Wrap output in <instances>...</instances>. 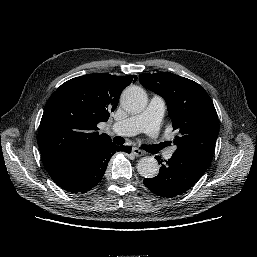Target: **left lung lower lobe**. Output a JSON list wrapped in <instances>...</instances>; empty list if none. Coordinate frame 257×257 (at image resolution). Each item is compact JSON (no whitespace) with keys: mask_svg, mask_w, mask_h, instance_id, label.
<instances>
[{"mask_svg":"<svg viewBox=\"0 0 257 257\" xmlns=\"http://www.w3.org/2000/svg\"><path fill=\"white\" fill-rule=\"evenodd\" d=\"M156 159L162 164L160 157L157 156ZM208 167L190 155L175 151L172 157L162 164L156 177L146 178L143 182L158 196L175 197L195 185Z\"/></svg>","mask_w":257,"mask_h":257,"instance_id":"obj_1","label":"left lung lower lobe"}]
</instances>
